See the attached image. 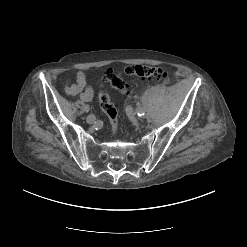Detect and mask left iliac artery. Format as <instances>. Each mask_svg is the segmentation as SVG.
Instances as JSON below:
<instances>
[{
  "instance_id": "44dca946",
  "label": "left iliac artery",
  "mask_w": 247,
  "mask_h": 247,
  "mask_svg": "<svg viewBox=\"0 0 247 247\" xmlns=\"http://www.w3.org/2000/svg\"><path fill=\"white\" fill-rule=\"evenodd\" d=\"M136 113H137V115L140 116V117H142V116L145 115V112H144V110H143V108H142L141 106L137 107Z\"/></svg>"
}]
</instances>
